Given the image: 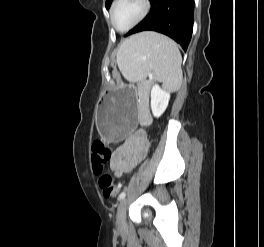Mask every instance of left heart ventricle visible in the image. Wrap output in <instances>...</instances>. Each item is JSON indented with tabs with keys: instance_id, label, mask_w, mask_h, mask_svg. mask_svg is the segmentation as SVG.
Returning a JSON list of instances; mask_svg holds the SVG:
<instances>
[{
	"instance_id": "obj_1",
	"label": "left heart ventricle",
	"mask_w": 264,
	"mask_h": 247,
	"mask_svg": "<svg viewBox=\"0 0 264 247\" xmlns=\"http://www.w3.org/2000/svg\"><path fill=\"white\" fill-rule=\"evenodd\" d=\"M141 11V0H120L114 10V23L118 28H126L138 18Z\"/></svg>"
}]
</instances>
